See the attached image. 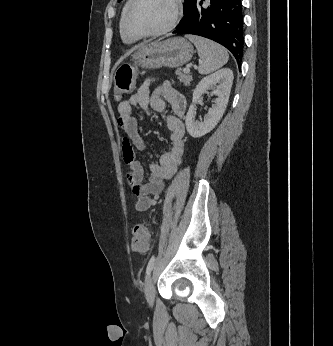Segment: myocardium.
Masks as SVG:
<instances>
[{
    "label": "myocardium",
    "instance_id": "myocardium-1",
    "mask_svg": "<svg viewBox=\"0 0 333 346\" xmlns=\"http://www.w3.org/2000/svg\"><path fill=\"white\" fill-rule=\"evenodd\" d=\"M140 0H131V3L126 11V14L124 16V20H123V30L124 33L133 39L136 38H148V37H158L161 35H164L170 31H172L180 22V19L182 17V13H183V4H182V0H172L173 3V7H174V14H173V18L171 20V22L164 27L163 29H160L158 31H154V32H136L134 30H132L130 28L129 25V21H130V17L131 14L135 8V6L138 4Z\"/></svg>",
    "mask_w": 333,
    "mask_h": 346
}]
</instances>
